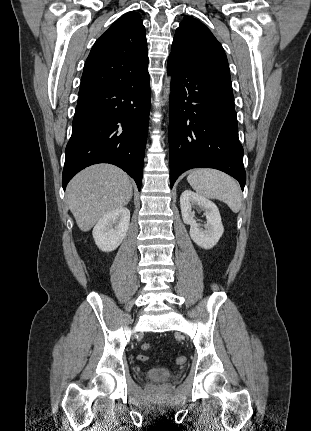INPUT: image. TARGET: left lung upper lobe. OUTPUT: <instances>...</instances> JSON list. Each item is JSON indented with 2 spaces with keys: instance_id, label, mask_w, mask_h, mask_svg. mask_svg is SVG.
<instances>
[{
  "instance_id": "left-lung-upper-lobe-1",
  "label": "left lung upper lobe",
  "mask_w": 311,
  "mask_h": 431,
  "mask_svg": "<svg viewBox=\"0 0 311 431\" xmlns=\"http://www.w3.org/2000/svg\"><path fill=\"white\" fill-rule=\"evenodd\" d=\"M169 57L189 67L230 79L223 47L211 31L197 19L185 16L177 28Z\"/></svg>"
}]
</instances>
